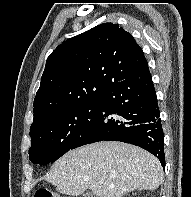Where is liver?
Instances as JSON below:
<instances>
[{"instance_id": "obj_1", "label": "liver", "mask_w": 191, "mask_h": 197, "mask_svg": "<svg viewBox=\"0 0 191 197\" xmlns=\"http://www.w3.org/2000/svg\"><path fill=\"white\" fill-rule=\"evenodd\" d=\"M45 180L66 195L78 196L89 188L97 197H122L133 190L157 189L163 169L159 160L142 148L102 141L64 154Z\"/></svg>"}]
</instances>
